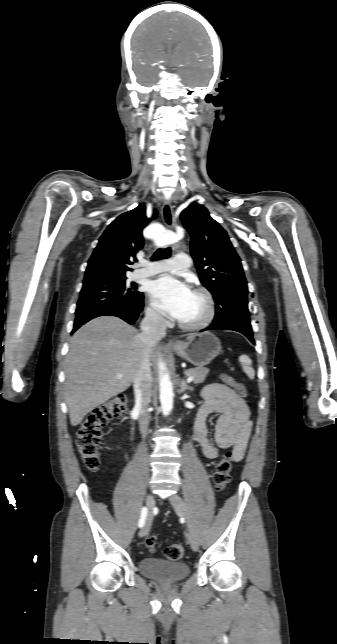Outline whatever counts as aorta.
Wrapping results in <instances>:
<instances>
[{
	"mask_svg": "<svg viewBox=\"0 0 337 644\" xmlns=\"http://www.w3.org/2000/svg\"><path fill=\"white\" fill-rule=\"evenodd\" d=\"M148 235L162 243H171L176 240L175 237L170 235V232L162 228L150 230ZM158 367L161 408L163 414L168 415L173 408V385L167 372V368L161 360L158 362Z\"/></svg>",
	"mask_w": 337,
	"mask_h": 644,
	"instance_id": "aorta-1",
	"label": "aorta"
}]
</instances>
